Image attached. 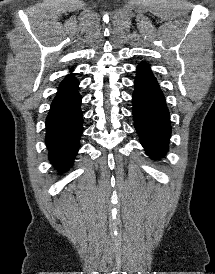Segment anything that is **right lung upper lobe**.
I'll return each instance as SVG.
<instances>
[{
	"label": "right lung upper lobe",
	"mask_w": 215,
	"mask_h": 274,
	"mask_svg": "<svg viewBox=\"0 0 215 274\" xmlns=\"http://www.w3.org/2000/svg\"><path fill=\"white\" fill-rule=\"evenodd\" d=\"M78 85H79V81L73 76V74H69L60 83L59 90H58L56 97L53 101H57L61 98L68 96L74 90H76L78 88Z\"/></svg>",
	"instance_id": "cb5924a9"
}]
</instances>
